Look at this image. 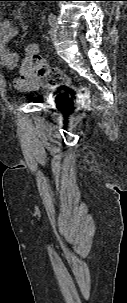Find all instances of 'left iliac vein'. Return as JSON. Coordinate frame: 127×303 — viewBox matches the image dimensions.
Returning <instances> with one entry per match:
<instances>
[{"label": "left iliac vein", "mask_w": 127, "mask_h": 303, "mask_svg": "<svg viewBox=\"0 0 127 303\" xmlns=\"http://www.w3.org/2000/svg\"><path fill=\"white\" fill-rule=\"evenodd\" d=\"M50 37L52 40H55L57 37V24L56 22L52 25V28L50 30Z\"/></svg>", "instance_id": "1"}]
</instances>
